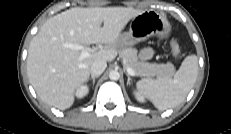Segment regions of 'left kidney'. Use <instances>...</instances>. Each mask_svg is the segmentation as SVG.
I'll use <instances>...</instances> for the list:
<instances>
[{
	"instance_id": "5707ae66",
	"label": "left kidney",
	"mask_w": 231,
	"mask_h": 134,
	"mask_svg": "<svg viewBox=\"0 0 231 134\" xmlns=\"http://www.w3.org/2000/svg\"><path fill=\"white\" fill-rule=\"evenodd\" d=\"M134 95H135V98L137 99V101H139V102H144L145 101L144 97L140 93L135 91Z\"/></svg>"
}]
</instances>
